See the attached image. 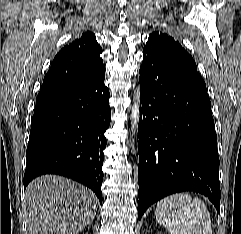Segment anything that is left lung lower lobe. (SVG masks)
Masks as SVG:
<instances>
[{
  "instance_id": "1",
  "label": "left lung lower lobe",
  "mask_w": 241,
  "mask_h": 234,
  "mask_svg": "<svg viewBox=\"0 0 241 234\" xmlns=\"http://www.w3.org/2000/svg\"><path fill=\"white\" fill-rule=\"evenodd\" d=\"M139 74L138 219L181 191L207 196L219 212L217 136L204 80L145 50Z\"/></svg>"
}]
</instances>
